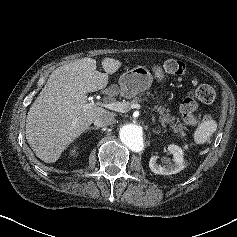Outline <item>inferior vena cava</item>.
I'll return each instance as SVG.
<instances>
[{"label":"inferior vena cava","mask_w":237,"mask_h":237,"mask_svg":"<svg viewBox=\"0 0 237 237\" xmlns=\"http://www.w3.org/2000/svg\"><path fill=\"white\" fill-rule=\"evenodd\" d=\"M115 121L116 120L112 114L106 113V114H102L101 116L97 117L94 120V125L97 127H105V126L114 124Z\"/></svg>","instance_id":"inferior-vena-cava-1"}]
</instances>
